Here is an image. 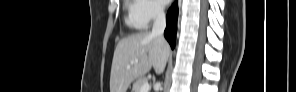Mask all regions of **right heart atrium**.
I'll return each instance as SVG.
<instances>
[{
	"instance_id": "d8ad5b80",
	"label": "right heart atrium",
	"mask_w": 296,
	"mask_h": 92,
	"mask_svg": "<svg viewBox=\"0 0 296 92\" xmlns=\"http://www.w3.org/2000/svg\"><path fill=\"white\" fill-rule=\"evenodd\" d=\"M134 4L136 17L144 26L161 19L164 15L163 8L156 1L137 0Z\"/></svg>"
}]
</instances>
